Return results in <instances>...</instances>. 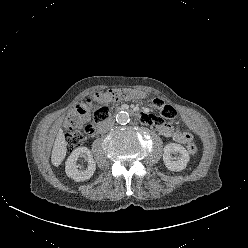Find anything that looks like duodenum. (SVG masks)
I'll return each instance as SVG.
<instances>
[{"mask_svg": "<svg viewBox=\"0 0 248 248\" xmlns=\"http://www.w3.org/2000/svg\"><path fill=\"white\" fill-rule=\"evenodd\" d=\"M119 111H129V112L133 113L135 116H137L140 119H142V116L144 115L141 112L133 111V110L127 108V107H121V108H119ZM100 127H101V125L98 126V128H100Z\"/></svg>", "mask_w": 248, "mask_h": 248, "instance_id": "410a0bca", "label": "duodenum"}]
</instances>
